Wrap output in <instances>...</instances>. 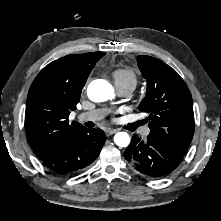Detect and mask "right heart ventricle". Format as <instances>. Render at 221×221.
<instances>
[{"label": "right heart ventricle", "instance_id": "right-heart-ventricle-1", "mask_svg": "<svg viewBox=\"0 0 221 221\" xmlns=\"http://www.w3.org/2000/svg\"><path fill=\"white\" fill-rule=\"evenodd\" d=\"M115 85L118 87H129L134 90L137 85V75L130 68H118L112 73Z\"/></svg>", "mask_w": 221, "mask_h": 221}]
</instances>
